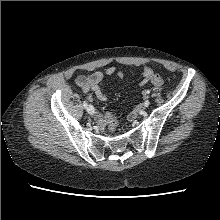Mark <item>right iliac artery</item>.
Masks as SVG:
<instances>
[{"label":"right iliac artery","instance_id":"obj_1","mask_svg":"<svg viewBox=\"0 0 220 220\" xmlns=\"http://www.w3.org/2000/svg\"><path fill=\"white\" fill-rule=\"evenodd\" d=\"M83 106H84V108H87V106H88L87 101H84V102H83Z\"/></svg>","mask_w":220,"mask_h":220}]
</instances>
